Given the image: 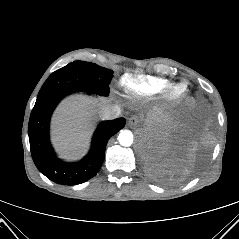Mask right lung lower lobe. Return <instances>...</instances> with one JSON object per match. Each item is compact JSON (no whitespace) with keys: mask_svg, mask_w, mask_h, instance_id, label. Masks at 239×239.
I'll return each instance as SVG.
<instances>
[{"mask_svg":"<svg viewBox=\"0 0 239 239\" xmlns=\"http://www.w3.org/2000/svg\"><path fill=\"white\" fill-rule=\"evenodd\" d=\"M68 92H56L37 98L30 115L28 135L33 161L39 171L55 183L81 184L100 170L105 157L106 144L125 125L124 118L100 123L96 129L91 149L86 157L76 163H65L55 156L49 141L51 114Z\"/></svg>","mask_w":239,"mask_h":239,"instance_id":"obj_1","label":"right lung lower lobe"}]
</instances>
